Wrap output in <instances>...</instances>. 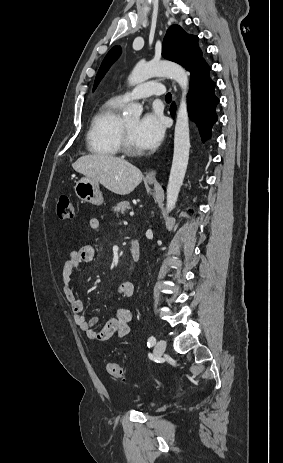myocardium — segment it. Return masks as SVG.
<instances>
[{
    "instance_id": "myocardium-1",
    "label": "myocardium",
    "mask_w": 283,
    "mask_h": 463,
    "mask_svg": "<svg viewBox=\"0 0 283 463\" xmlns=\"http://www.w3.org/2000/svg\"><path fill=\"white\" fill-rule=\"evenodd\" d=\"M120 148L124 153L130 156H138L142 154L140 150H137L132 146L127 127L123 121L120 129Z\"/></svg>"
}]
</instances>
